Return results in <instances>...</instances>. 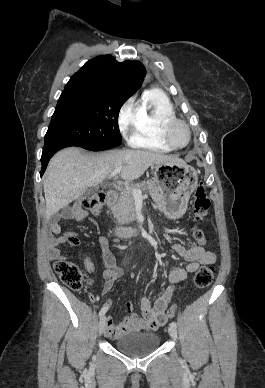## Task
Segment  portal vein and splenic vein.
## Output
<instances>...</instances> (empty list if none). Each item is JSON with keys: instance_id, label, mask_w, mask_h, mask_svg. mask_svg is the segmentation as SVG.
Segmentation results:
<instances>
[{"instance_id": "portal-vein-and-splenic-vein-1", "label": "portal vein and splenic vein", "mask_w": 265, "mask_h": 388, "mask_svg": "<svg viewBox=\"0 0 265 388\" xmlns=\"http://www.w3.org/2000/svg\"><path fill=\"white\" fill-rule=\"evenodd\" d=\"M122 168H123V166H117V168H115L114 172H112V174H110V176H109L110 180H111V178H114V176H117V174H120ZM131 194H132L133 198H143L142 190H136V188H134V190H132Z\"/></svg>"}]
</instances>
